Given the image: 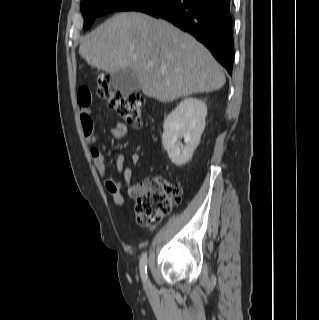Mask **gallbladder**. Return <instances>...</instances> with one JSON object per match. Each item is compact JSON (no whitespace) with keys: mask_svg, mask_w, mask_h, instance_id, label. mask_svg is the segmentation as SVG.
<instances>
[{"mask_svg":"<svg viewBox=\"0 0 319 320\" xmlns=\"http://www.w3.org/2000/svg\"><path fill=\"white\" fill-rule=\"evenodd\" d=\"M110 84L116 91H120L124 95H130L140 90V84L137 77L129 69L111 74Z\"/></svg>","mask_w":319,"mask_h":320,"instance_id":"bac80fb5","label":"gallbladder"}]
</instances>
